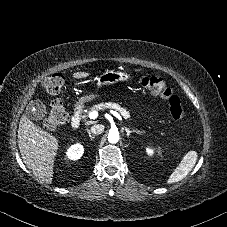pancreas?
Masks as SVG:
<instances>
[{
  "label": "pancreas",
  "instance_id": "1",
  "mask_svg": "<svg viewBox=\"0 0 227 227\" xmlns=\"http://www.w3.org/2000/svg\"><path fill=\"white\" fill-rule=\"evenodd\" d=\"M106 108H109V109H114L116 111H118L124 119H130V113L127 109L121 107L119 104L117 103H112V102H106V103H100L98 105H94L92 106L89 111V113L91 111H100V110H103V109H106Z\"/></svg>",
  "mask_w": 227,
  "mask_h": 227
}]
</instances>
